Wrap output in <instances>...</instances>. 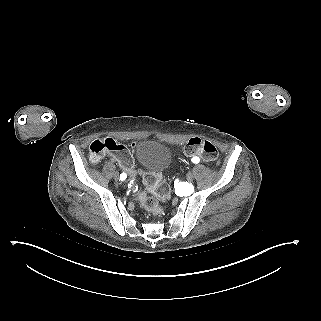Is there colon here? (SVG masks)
<instances>
[{"label":"colon","instance_id":"colon-1","mask_svg":"<svg viewBox=\"0 0 321 321\" xmlns=\"http://www.w3.org/2000/svg\"><path fill=\"white\" fill-rule=\"evenodd\" d=\"M105 154H111L115 157L122 169L127 172V183L132 187L136 178V172L134 161L127 148L112 138L99 139L92 142L89 154L92 163H98ZM184 154L188 157L201 158V160L213 166H218L219 164L218 151L215 145L200 138H191L184 147ZM144 179L155 197L144 192H138L136 199L146 212L160 215L162 214V208L156 198H167L170 187L160 174L145 172Z\"/></svg>","mask_w":321,"mask_h":321}]
</instances>
